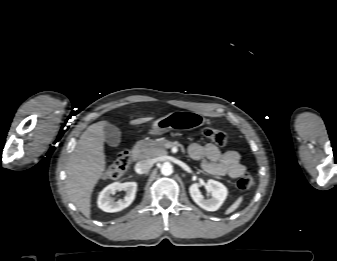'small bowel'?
Wrapping results in <instances>:
<instances>
[{
	"mask_svg": "<svg viewBox=\"0 0 337 261\" xmlns=\"http://www.w3.org/2000/svg\"><path fill=\"white\" fill-rule=\"evenodd\" d=\"M188 154L193 160L200 161L202 170L210 175L238 178L246 171L238 152H221L212 143H193L188 148Z\"/></svg>",
	"mask_w": 337,
	"mask_h": 261,
	"instance_id": "small-bowel-1",
	"label": "small bowel"
}]
</instances>
